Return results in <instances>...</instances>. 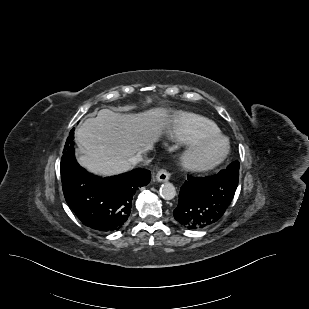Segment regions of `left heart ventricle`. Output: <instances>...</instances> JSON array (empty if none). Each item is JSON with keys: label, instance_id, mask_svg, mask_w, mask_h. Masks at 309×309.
Masks as SVG:
<instances>
[{"label": "left heart ventricle", "instance_id": "b2bd125f", "mask_svg": "<svg viewBox=\"0 0 309 309\" xmlns=\"http://www.w3.org/2000/svg\"><path fill=\"white\" fill-rule=\"evenodd\" d=\"M221 149V145L219 144H214L212 146H210L207 150H206V155H213L215 153H217L219 150Z\"/></svg>", "mask_w": 309, "mask_h": 309}]
</instances>
